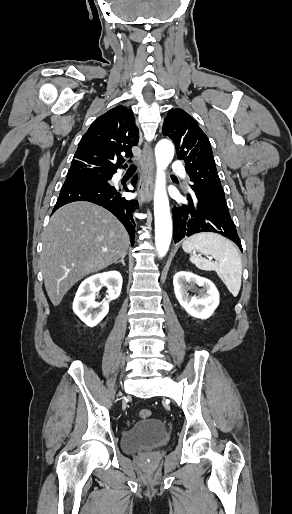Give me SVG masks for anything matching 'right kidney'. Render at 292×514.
<instances>
[{
    "instance_id": "1",
    "label": "right kidney",
    "mask_w": 292,
    "mask_h": 514,
    "mask_svg": "<svg viewBox=\"0 0 292 514\" xmlns=\"http://www.w3.org/2000/svg\"><path fill=\"white\" fill-rule=\"evenodd\" d=\"M122 276L120 272H103L95 274L84 280L80 284L73 302V312L76 316L89 326H97L109 312V302L116 300L120 296L122 288ZM102 286H107V300L95 302V294L101 290ZM98 308V310H95Z\"/></svg>"
}]
</instances>
